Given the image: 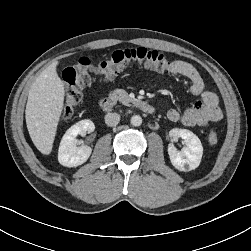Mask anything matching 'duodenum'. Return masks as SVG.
<instances>
[{"label":"duodenum","mask_w":251,"mask_h":251,"mask_svg":"<svg viewBox=\"0 0 251 251\" xmlns=\"http://www.w3.org/2000/svg\"><path fill=\"white\" fill-rule=\"evenodd\" d=\"M134 104L138 109H140L142 112H144L146 114H153L155 112L154 106H152L151 104H149L143 100H137V101H135ZM99 105L103 111L110 112L113 110V108L115 106V102L110 98H103L100 101Z\"/></svg>","instance_id":"1"}]
</instances>
